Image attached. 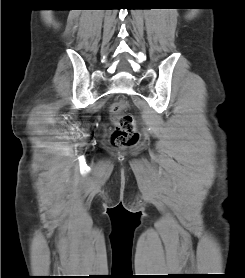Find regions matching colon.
<instances>
[{
	"instance_id": "colon-1",
	"label": "colon",
	"mask_w": 245,
	"mask_h": 278,
	"mask_svg": "<svg viewBox=\"0 0 245 278\" xmlns=\"http://www.w3.org/2000/svg\"><path fill=\"white\" fill-rule=\"evenodd\" d=\"M128 107L129 102L125 98H119L110 108L115 125L112 141L117 147H126L135 143L138 139V132L133 117L124 113Z\"/></svg>"
}]
</instances>
